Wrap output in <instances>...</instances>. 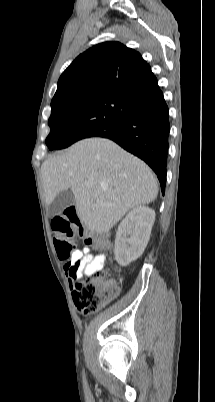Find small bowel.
Returning <instances> with one entry per match:
<instances>
[{"label": "small bowel", "mask_w": 215, "mask_h": 402, "mask_svg": "<svg viewBox=\"0 0 215 402\" xmlns=\"http://www.w3.org/2000/svg\"><path fill=\"white\" fill-rule=\"evenodd\" d=\"M88 252L89 247H85L84 249L77 250L72 254L71 263H74L77 259L82 257L88 258L87 260L81 262L79 267L74 272L71 271V266L68 265V262L65 265V271L69 278V285L71 289H74L76 282H78L83 276H90L96 270L100 269L104 262L103 255H100L94 261H91L92 259Z\"/></svg>", "instance_id": "obj_1"}]
</instances>
